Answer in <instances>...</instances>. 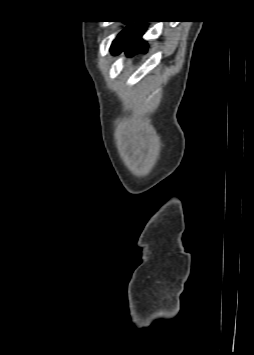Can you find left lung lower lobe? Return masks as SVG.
Wrapping results in <instances>:
<instances>
[{"label":"left lung lower lobe","mask_w":254,"mask_h":355,"mask_svg":"<svg viewBox=\"0 0 254 355\" xmlns=\"http://www.w3.org/2000/svg\"><path fill=\"white\" fill-rule=\"evenodd\" d=\"M146 30V26L142 23L131 24L124 29L122 36L117 41L112 54L116 55L125 51L128 56H133L138 52L147 51V43L142 40V35Z\"/></svg>","instance_id":"0a47b994"}]
</instances>
